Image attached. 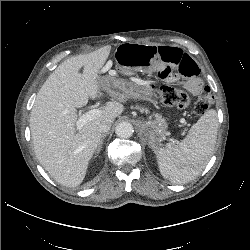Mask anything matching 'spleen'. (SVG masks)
I'll return each mask as SVG.
<instances>
[{"instance_id":"obj_1","label":"spleen","mask_w":250,"mask_h":250,"mask_svg":"<svg viewBox=\"0 0 250 250\" xmlns=\"http://www.w3.org/2000/svg\"><path fill=\"white\" fill-rule=\"evenodd\" d=\"M217 130V113L211 109L191 127L179 145L157 149L155 154L161 175L174 184H185L198 176L214 151Z\"/></svg>"}]
</instances>
